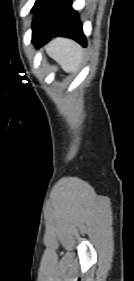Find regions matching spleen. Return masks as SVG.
I'll return each mask as SVG.
<instances>
[{
	"instance_id": "obj_1",
	"label": "spleen",
	"mask_w": 134,
	"mask_h": 281,
	"mask_svg": "<svg viewBox=\"0 0 134 281\" xmlns=\"http://www.w3.org/2000/svg\"><path fill=\"white\" fill-rule=\"evenodd\" d=\"M45 49L47 54L67 73L76 72L82 62V48L69 39L56 38Z\"/></svg>"
}]
</instances>
